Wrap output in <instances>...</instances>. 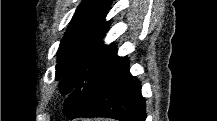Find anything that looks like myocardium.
I'll list each match as a JSON object with an SVG mask.
<instances>
[{"label":"myocardium","instance_id":"f54148a6","mask_svg":"<svg viewBox=\"0 0 217 121\" xmlns=\"http://www.w3.org/2000/svg\"><path fill=\"white\" fill-rule=\"evenodd\" d=\"M70 92H71V90H70V89H67V90L64 91V92H59V95H60V96H66V95H68Z\"/></svg>","mask_w":217,"mask_h":121}]
</instances>
